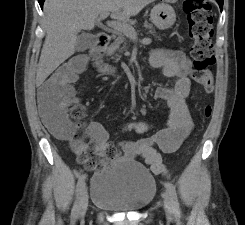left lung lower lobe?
Masks as SVG:
<instances>
[{
  "instance_id": "obj_1",
  "label": "left lung lower lobe",
  "mask_w": 245,
  "mask_h": 225,
  "mask_svg": "<svg viewBox=\"0 0 245 225\" xmlns=\"http://www.w3.org/2000/svg\"><path fill=\"white\" fill-rule=\"evenodd\" d=\"M219 6H220V9L222 10L223 8V0H217Z\"/></svg>"
}]
</instances>
